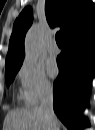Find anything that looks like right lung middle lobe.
Returning a JSON list of instances; mask_svg holds the SVG:
<instances>
[{"label":"right lung middle lobe","mask_w":95,"mask_h":130,"mask_svg":"<svg viewBox=\"0 0 95 130\" xmlns=\"http://www.w3.org/2000/svg\"><path fill=\"white\" fill-rule=\"evenodd\" d=\"M19 68L20 67L6 70L5 78H6L7 86H9L10 83L14 80V77L16 73L18 72Z\"/></svg>","instance_id":"1"}]
</instances>
